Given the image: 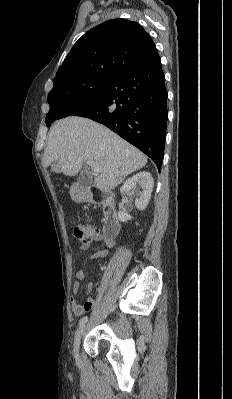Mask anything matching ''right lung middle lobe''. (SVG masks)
I'll use <instances>...</instances> for the list:
<instances>
[{
	"label": "right lung middle lobe",
	"instance_id": "right-lung-middle-lobe-1",
	"mask_svg": "<svg viewBox=\"0 0 232 399\" xmlns=\"http://www.w3.org/2000/svg\"><path fill=\"white\" fill-rule=\"evenodd\" d=\"M109 81L110 78L87 79L73 84L62 93L48 95L50 110L46 115V125L50 126L69 106L96 98Z\"/></svg>",
	"mask_w": 232,
	"mask_h": 399
}]
</instances>
